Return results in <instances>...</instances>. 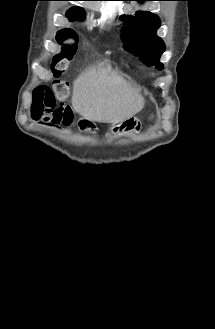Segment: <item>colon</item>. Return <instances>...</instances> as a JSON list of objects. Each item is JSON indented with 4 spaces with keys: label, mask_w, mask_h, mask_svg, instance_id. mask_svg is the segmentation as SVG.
Wrapping results in <instances>:
<instances>
[{
    "label": "colon",
    "mask_w": 215,
    "mask_h": 329,
    "mask_svg": "<svg viewBox=\"0 0 215 329\" xmlns=\"http://www.w3.org/2000/svg\"><path fill=\"white\" fill-rule=\"evenodd\" d=\"M66 29L68 31L57 32L60 50L52 61L53 89L49 86H34L31 114H70V107H67L68 86L62 76L73 57L74 49H78L79 44H82V37H79V31H70V26Z\"/></svg>",
    "instance_id": "colon-1"
}]
</instances>
